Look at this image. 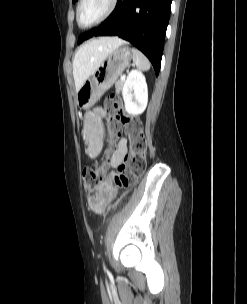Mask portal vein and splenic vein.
<instances>
[{
	"label": "portal vein and splenic vein",
	"instance_id": "obj_1",
	"mask_svg": "<svg viewBox=\"0 0 247 304\" xmlns=\"http://www.w3.org/2000/svg\"><path fill=\"white\" fill-rule=\"evenodd\" d=\"M122 81L125 80V75L121 76L120 78Z\"/></svg>",
	"mask_w": 247,
	"mask_h": 304
}]
</instances>
